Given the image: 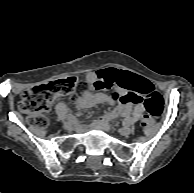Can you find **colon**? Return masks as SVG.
Wrapping results in <instances>:
<instances>
[{
	"mask_svg": "<svg viewBox=\"0 0 194 193\" xmlns=\"http://www.w3.org/2000/svg\"><path fill=\"white\" fill-rule=\"evenodd\" d=\"M78 86V79L67 77L46 84L36 85L26 90L18 104L20 111L26 116L29 124L37 127H46L48 124V110L53 99L58 95L72 94ZM126 88L133 93L122 96L119 88ZM137 79L132 75H118L117 78H110L106 81L104 88L111 89V97L115 101L135 102L143 101L147 119L145 128L151 125V119L160 115L163 110L162 96L152 87H147L142 93L135 92Z\"/></svg>",
	"mask_w": 194,
	"mask_h": 193,
	"instance_id": "5ec220e1",
	"label": "colon"
}]
</instances>
